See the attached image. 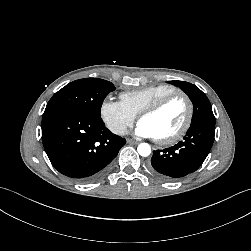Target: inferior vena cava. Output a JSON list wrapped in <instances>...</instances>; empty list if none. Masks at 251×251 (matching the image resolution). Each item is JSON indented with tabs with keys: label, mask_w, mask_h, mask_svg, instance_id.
Segmentation results:
<instances>
[{
	"label": "inferior vena cava",
	"mask_w": 251,
	"mask_h": 251,
	"mask_svg": "<svg viewBox=\"0 0 251 251\" xmlns=\"http://www.w3.org/2000/svg\"><path fill=\"white\" fill-rule=\"evenodd\" d=\"M114 133L117 135H126L127 134V128L125 126H120L114 130Z\"/></svg>",
	"instance_id": "602c4592"
}]
</instances>
